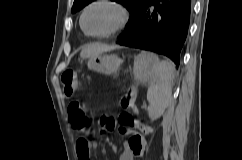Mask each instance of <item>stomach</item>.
<instances>
[{
    "mask_svg": "<svg viewBox=\"0 0 242 160\" xmlns=\"http://www.w3.org/2000/svg\"><path fill=\"white\" fill-rule=\"evenodd\" d=\"M123 60L114 54H101L95 58L89 59L87 66L89 70L100 72L106 75L116 72ZM134 74L141 83H147L151 80V60L149 53L143 52L134 58Z\"/></svg>",
    "mask_w": 242,
    "mask_h": 160,
    "instance_id": "stomach-1",
    "label": "stomach"
}]
</instances>
